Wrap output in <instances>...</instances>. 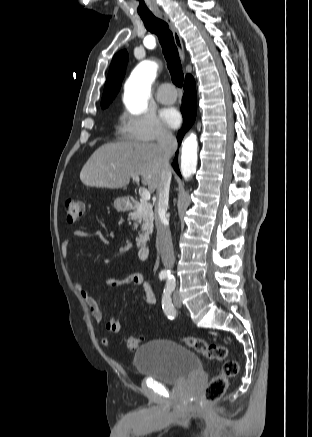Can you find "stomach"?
<instances>
[{"instance_id": "stomach-1", "label": "stomach", "mask_w": 312, "mask_h": 437, "mask_svg": "<svg viewBox=\"0 0 312 437\" xmlns=\"http://www.w3.org/2000/svg\"><path fill=\"white\" fill-rule=\"evenodd\" d=\"M114 207L118 211H126L129 208V202L126 198L120 197L114 201Z\"/></svg>"}]
</instances>
